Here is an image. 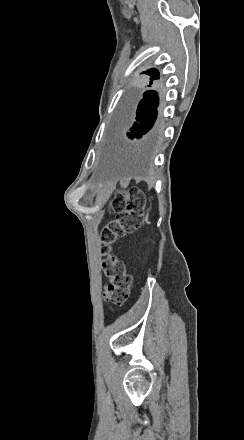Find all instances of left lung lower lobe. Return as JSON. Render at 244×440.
I'll list each match as a JSON object with an SVG mask.
<instances>
[{
    "label": "left lung lower lobe",
    "instance_id": "1",
    "mask_svg": "<svg viewBox=\"0 0 244 440\" xmlns=\"http://www.w3.org/2000/svg\"><path fill=\"white\" fill-rule=\"evenodd\" d=\"M149 87L151 85H148ZM158 106V96L155 91H146L143 94V98L140 100L136 110V120L133 126L130 128L127 136L131 139L140 138L143 134L148 132L155 122L157 116L156 107ZM132 108L127 110V117L129 118L132 113Z\"/></svg>",
    "mask_w": 244,
    "mask_h": 440
}]
</instances>
